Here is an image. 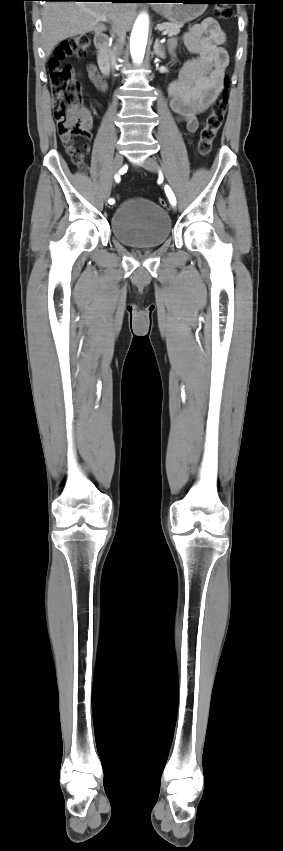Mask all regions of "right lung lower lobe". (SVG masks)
Returning <instances> with one entry per match:
<instances>
[{
	"label": "right lung lower lobe",
	"instance_id": "right-lung-lower-lobe-1",
	"mask_svg": "<svg viewBox=\"0 0 283 851\" xmlns=\"http://www.w3.org/2000/svg\"><path fill=\"white\" fill-rule=\"evenodd\" d=\"M46 1H90V0H46ZM111 2H145L147 0H109Z\"/></svg>",
	"mask_w": 283,
	"mask_h": 851
}]
</instances>
